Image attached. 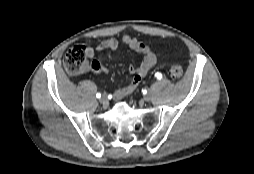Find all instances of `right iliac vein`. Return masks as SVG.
Here are the masks:
<instances>
[{
    "label": "right iliac vein",
    "mask_w": 254,
    "mask_h": 174,
    "mask_svg": "<svg viewBox=\"0 0 254 174\" xmlns=\"http://www.w3.org/2000/svg\"><path fill=\"white\" fill-rule=\"evenodd\" d=\"M100 102L105 106L108 104V99L105 95L100 98Z\"/></svg>",
    "instance_id": "63e3f726"
}]
</instances>
